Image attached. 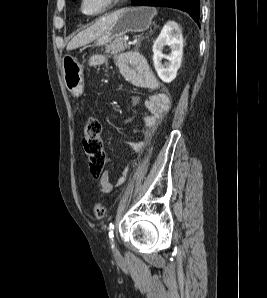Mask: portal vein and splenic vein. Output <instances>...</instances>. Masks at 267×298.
Instances as JSON below:
<instances>
[{"instance_id":"1","label":"portal vein and splenic vein","mask_w":267,"mask_h":298,"mask_svg":"<svg viewBox=\"0 0 267 298\" xmlns=\"http://www.w3.org/2000/svg\"><path fill=\"white\" fill-rule=\"evenodd\" d=\"M132 44H133V42H132V41H129V42H128V45H129V46H130V45H132Z\"/></svg>"}]
</instances>
